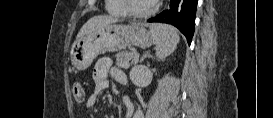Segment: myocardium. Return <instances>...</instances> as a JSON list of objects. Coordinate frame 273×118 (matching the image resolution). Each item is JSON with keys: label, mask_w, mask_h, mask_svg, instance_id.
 I'll list each match as a JSON object with an SVG mask.
<instances>
[{"label": "myocardium", "mask_w": 273, "mask_h": 118, "mask_svg": "<svg viewBox=\"0 0 273 118\" xmlns=\"http://www.w3.org/2000/svg\"><path fill=\"white\" fill-rule=\"evenodd\" d=\"M126 12L128 15L136 18H146L153 15L157 11V3L153 2L150 8L143 12H138L132 9L131 0H124Z\"/></svg>", "instance_id": "f54148a6"}]
</instances>
